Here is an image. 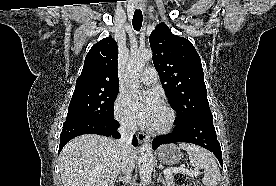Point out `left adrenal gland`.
Wrapping results in <instances>:
<instances>
[{"label": "left adrenal gland", "mask_w": 276, "mask_h": 186, "mask_svg": "<svg viewBox=\"0 0 276 186\" xmlns=\"http://www.w3.org/2000/svg\"><path fill=\"white\" fill-rule=\"evenodd\" d=\"M157 182H161L163 184V186H166V181L161 177V173H159Z\"/></svg>", "instance_id": "1"}]
</instances>
